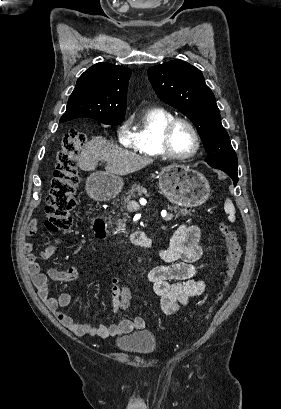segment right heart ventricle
<instances>
[{
  "mask_svg": "<svg viewBox=\"0 0 281 409\" xmlns=\"http://www.w3.org/2000/svg\"><path fill=\"white\" fill-rule=\"evenodd\" d=\"M173 118L175 115L164 108L147 110L135 124L127 147L144 158L166 157L160 140L165 125Z\"/></svg>",
  "mask_w": 281,
  "mask_h": 409,
  "instance_id": "1",
  "label": "right heart ventricle"
}]
</instances>
